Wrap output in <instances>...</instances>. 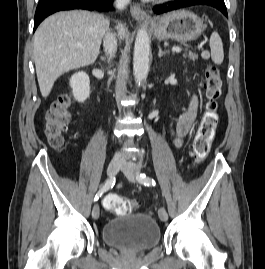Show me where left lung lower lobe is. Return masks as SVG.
<instances>
[{
	"label": "left lung lower lobe",
	"instance_id": "0a47b994",
	"mask_svg": "<svg viewBox=\"0 0 265 269\" xmlns=\"http://www.w3.org/2000/svg\"><path fill=\"white\" fill-rule=\"evenodd\" d=\"M193 5H209L221 11L225 16H228L224 0H182L168 7L156 8L154 9V12L156 14H161Z\"/></svg>",
	"mask_w": 265,
	"mask_h": 269
}]
</instances>
